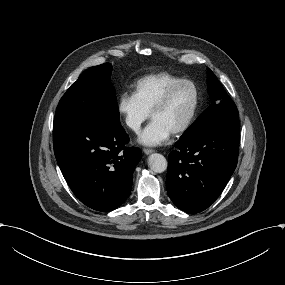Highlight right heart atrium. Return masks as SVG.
I'll return each instance as SVG.
<instances>
[{
  "instance_id": "obj_1",
  "label": "right heart atrium",
  "mask_w": 285,
  "mask_h": 285,
  "mask_svg": "<svg viewBox=\"0 0 285 285\" xmlns=\"http://www.w3.org/2000/svg\"><path fill=\"white\" fill-rule=\"evenodd\" d=\"M118 111L126 125L134 131H139L142 124L150 116V112L139 101L133 89L125 91L120 96Z\"/></svg>"
}]
</instances>
